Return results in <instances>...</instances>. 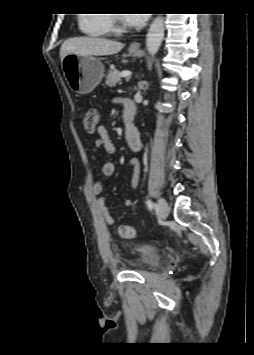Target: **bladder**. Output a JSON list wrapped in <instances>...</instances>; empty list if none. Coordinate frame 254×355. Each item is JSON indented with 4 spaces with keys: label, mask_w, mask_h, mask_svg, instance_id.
Wrapping results in <instances>:
<instances>
[{
    "label": "bladder",
    "mask_w": 254,
    "mask_h": 355,
    "mask_svg": "<svg viewBox=\"0 0 254 355\" xmlns=\"http://www.w3.org/2000/svg\"><path fill=\"white\" fill-rule=\"evenodd\" d=\"M137 256L136 269L138 270H152L159 266L160 255L155 247L148 244H139L135 247Z\"/></svg>",
    "instance_id": "31cf9c89"
}]
</instances>
